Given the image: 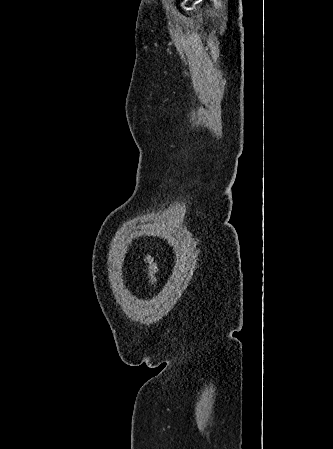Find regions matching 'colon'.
Listing matches in <instances>:
<instances>
[{"label":"colon","instance_id":"obj_1","mask_svg":"<svg viewBox=\"0 0 333 449\" xmlns=\"http://www.w3.org/2000/svg\"><path fill=\"white\" fill-rule=\"evenodd\" d=\"M142 260L147 273V280L151 287H154L157 281L158 264L155 258L150 254H143Z\"/></svg>","mask_w":333,"mask_h":449}]
</instances>
